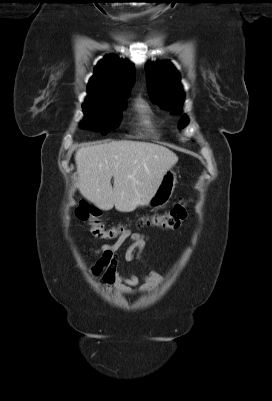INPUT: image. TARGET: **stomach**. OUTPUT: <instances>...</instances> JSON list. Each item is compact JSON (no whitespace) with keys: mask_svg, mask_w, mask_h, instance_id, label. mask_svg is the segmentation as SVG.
Segmentation results:
<instances>
[{"mask_svg":"<svg viewBox=\"0 0 272 401\" xmlns=\"http://www.w3.org/2000/svg\"><path fill=\"white\" fill-rule=\"evenodd\" d=\"M176 173L169 169L163 176L155 194L148 202L147 206L153 208H161L166 205L174 191L176 185Z\"/></svg>","mask_w":272,"mask_h":401,"instance_id":"1","label":"stomach"}]
</instances>
